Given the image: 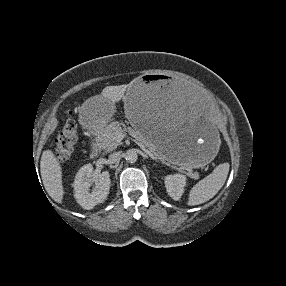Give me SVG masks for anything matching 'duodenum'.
<instances>
[{
  "label": "duodenum",
  "mask_w": 286,
  "mask_h": 286,
  "mask_svg": "<svg viewBox=\"0 0 286 286\" xmlns=\"http://www.w3.org/2000/svg\"><path fill=\"white\" fill-rule=\"evenodd\" d=\"M98 155H99V148L97 145H95L92 147V149L90 151V157L95 159L98 157Z\"/></svg>",
  "instance_id": "obj_1"
}]
</instances>
